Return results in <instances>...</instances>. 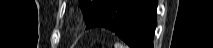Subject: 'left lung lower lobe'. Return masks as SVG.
Segmentation results:
<instances>
[{"instance_id":"obj_1","label":"left lung lower lobe","mask_w":213,"mask_h":48,"mask_svg":"<svg viewBox=\"0 0 213 48\" xmlns=\"http://www.w3.org/2000/svg\"><path fill=\"white\" fill-rule=\"evenodd\" d=\"M156 7L157 0H110L87 22V28H108L131 48H153Z\"/></svg>"}]
</instances>
